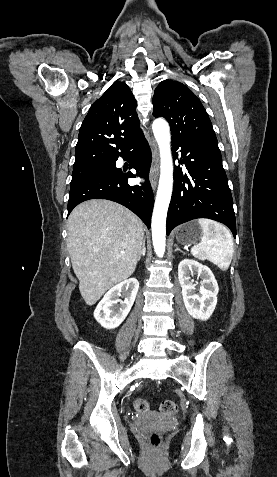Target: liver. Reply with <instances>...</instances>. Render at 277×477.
<instances>
[{"instance_id":"1","label":"liver","mask_w":277,"mask_h":477,"mask_svg":"<svg viewBox=\"0 0 277 477\" xmlns=\"http://www.w3.org/2000/svg\"><path fill=\"white\" fill-rule=\"evenodd\" d=\"M67 232L72 267L87 305L135 271L144 224L124 206L104 199L83 202L71 212Z\"/></svg>"}]
</instances>
